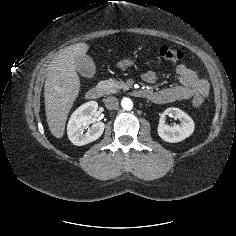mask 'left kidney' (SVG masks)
Returning <instances> with one entry per match:
<instances>
[{
  "label": "left kidney",
  "instance_id": "5707ae66",
  "mask_svg": "<svg viewBox=\"0 0 236 236\" xmlns=\"http://www.w3.org/2000/svg\"><path fill=\"white\" fill-rule=\"evenodd\" d=\"M174 116L179 119L180 124L169 126L165 124L164 116ZM194 122L192 118L178 108H167L161 115L158 125V135L166 142L177 143L189 137L194 131Z\"/></svg>",
  "mask_w": 236,
  "mask_h": 236
}]
</instances>
